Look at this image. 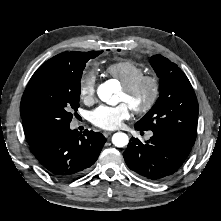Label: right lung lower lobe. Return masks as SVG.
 <instances>
[{
    "label": "right lung lower lobe",
    "instance_id": "right-lung-lower-lobe-1",
    "mask_svg": "<svg viewBox=\"0 0 221 221\" xmlns=\"http://www.w3.org/2000/svg\"><path fill=\"white\" fill-rule=\"evenodd\" d=\"M105 142L106 138L101 133L85 130L81 134L64 125L49 131L29 146L48 174L66 180L85 173L98 159Z\"/></svg>",
    "mask_w": 221,
    "mask_h": 221
}]
</instances>
